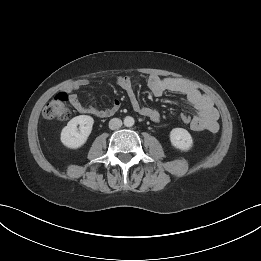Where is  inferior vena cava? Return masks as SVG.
I'll return each mask as SVG.
<instances>
[{"label": "inferior vena cava", "mask_w": 261, "mask_h": 261, "mask_svg": "<svg viewBox=\"0 0 261 261\" xmlns=\"http://www.w3.org/2000/svg\"><path fill=\"white\" fill-rule=\"evenodd\" d=\"M122 126V121L119 118H113L109 121V128L111 130L119 129Z\"/></svg>", "instance_id": "602c4592"}]
</instances>
